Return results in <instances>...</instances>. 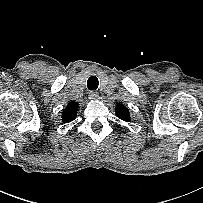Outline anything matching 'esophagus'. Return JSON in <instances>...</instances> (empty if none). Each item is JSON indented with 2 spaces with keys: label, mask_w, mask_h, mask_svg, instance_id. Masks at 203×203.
Returning <instances> with one entry per match:
<instances>
[{
  "label": "esophagus",
  "mask_w": 203,
  "mask_h": 203,
  "mask_svg": "<svg viewBox=\"0 0 203 203\" xmlns=\"http://www.w3.org/2000/svg\"><path fill=\"white\" fill-rule=\"evenodd\" d=\"M88 96H89V99L91 100H96L99 97L98 93L95 91H90Z\"/></svg>",
  "instance_id": "1"
}]
</instances>
